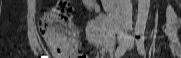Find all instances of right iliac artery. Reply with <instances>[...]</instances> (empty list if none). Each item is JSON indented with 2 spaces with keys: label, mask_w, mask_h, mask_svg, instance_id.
I'll return each instance as SVG.
<instances>
[{
  "label": "right iliac artery",
  "mask_w": 181,
  "mask_h": 58,
  "mask_svg": "<svg viewBox=\"0 0 181 58\" xmlns=\"http://www.w3.org/2000/svg\"><path fill=\"white\" fill-rule=\"evenodd\" d=\"M133 41H134V36H130L123 45H120L115 52V58L121 57L129 48V46L132 44Z\"/></svg>",
  "instance_id": "1"
}]
</instances>
